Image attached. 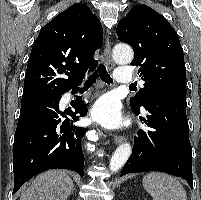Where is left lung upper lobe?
<instances>
[{
  "instance_id": "1",
  "label": "left lung upper lobe",
  "mask_w": 201,
  "mask_h": 200,
  "mask_svg": "<svg viewBox=\"0 0 201 200\" xmlns=\"http://www.w3.org/2000/svg\"><path fill=\"white\" fill-rule=\"evenodd\" d=\"M120 41L128 43L135 57L144 87L130 99L131 108L140 106L153 95L168 92L186 94V68L179 37L166 19L140 4L129 11L117 26Z\"/></svg>"
}]
</instances>
